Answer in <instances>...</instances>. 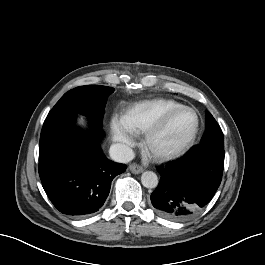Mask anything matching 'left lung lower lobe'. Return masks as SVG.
I'll list each match as a JSON object with an SVG mask.
<instances>
[{"label":"left lung lower lobe","mask_w":265,"mask_h":265,"mask_svg":"<svg viewBox=\"0 0 265 265\" xmlns=\"http://www.w3.org/2000/svg\"><path fill=\"white\" fill-rule=\"evenodd\" d=\"M224 168V145L208 143L195 147L180 162L158 169L161 175L151 194L158 214L170 220L197 215L213 198Z\"/></svg>","instance_id":"obj_1"}]
</instances>
